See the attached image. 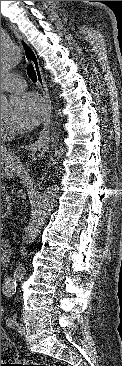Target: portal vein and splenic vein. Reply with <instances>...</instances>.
<instances>
[{
    "instance_id": "1",
    "label": "portal vein and splenic vein",
    "mask_w": 122,
    "mask_h": 366,
    "mask_svg": "<svg viewBox=\"0 0 122 366\" xmlns=\"http://www.w3.org/2000/svg\"><path fill=\"white\" fill-rule=\"evenodd\" d=\"M5 200H6V201H9V200H10V197H6V198H5Z\"/></svg>"
}]
</instances>
